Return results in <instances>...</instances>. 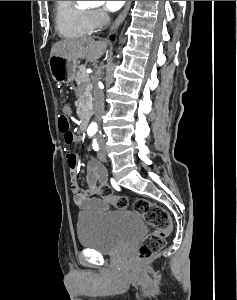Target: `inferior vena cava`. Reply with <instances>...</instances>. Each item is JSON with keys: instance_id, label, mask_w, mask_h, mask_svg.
I'll return each instance as SVG.
<instances>
[{"instance_id": "602c4592", "label": "inferior vena cava", "mask_w": 237, "mask_h": 300, "mask_svg": "<svg viewBox=\"0 0 237 300\" xmlns=\"http://www.w3.org/2000/svg\"><path fill=\"white\" fill-rule=\"evenodd\" d=\"M110 17L104 13V21H103V27H107V25H110ZM103 73H99V77H101ZM94 115L97 123H101L102 121V115H104V93L102 89H100L98 83L95 85L94 89Z\"/></svg>"}]
</instances>
